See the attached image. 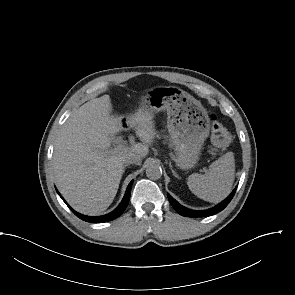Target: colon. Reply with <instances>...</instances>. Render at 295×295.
I'll use <instances>...</instances> for the list:
<instances>
[{
    "instance_id": "colon-1",
    "label": "colon",
    "mask_w": 295,
    "mask_h": 295,
    "mask_svg": "<svg viewBox=\"0 0 295 295\" xmlns=\"http://www.w3.org/2000/svg\"><path fill=\"white\" fill-rule=\"evenodd\" d=\"M211 138L214 145L217 147H225L231 141V136L228 130L218 121L216 116H211Z\"/></svg>"
}]
</instances>
